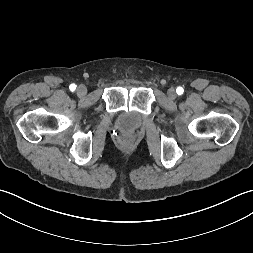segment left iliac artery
<instances>
[{"label": "left iliac artery", "instance_id": "left-iliac-artery-1", "mask_svg": "<svg viewBox=\"0 0 253 253\" xmlns=\"http://www.w3.org/2000/svg\"><path fill=\"white\" fill-rule=\"evenodd\" d=\"M176 92H177L178 95H182L183 92H184V89H183L182 87H178V88L176 89Z\"/></svg>", "mask_w": 253, "mask_h": 253}]
</instances>
